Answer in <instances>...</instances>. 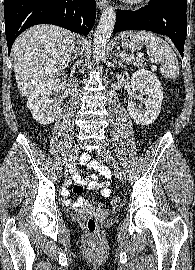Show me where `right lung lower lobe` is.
I'll use <instances>...</instances> for the list:
<instances>
[{"mask_svg":"<svg viewBox=\"0 0 195 270\" xmlns=\"http://www.w3.org/2000/svg\"><path fill=\"white\" fill-rule=\"evenodd\" d=\"M5 33L12 44L25 29L53 24L87 36L96 17L95 0H4Z\"/></svg>","mask_w":195,"mask_h":270,"instance_id":"obj_1","label":"right lung lower lobe"}]
</instances>
